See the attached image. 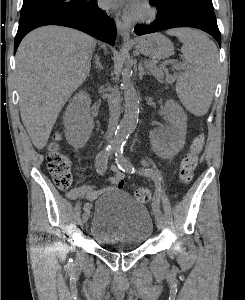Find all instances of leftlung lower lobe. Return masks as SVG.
Wrapping results in <instances>:
<instances>
[{
    "instance_id": "1",
    "label": "left lung lower lobe",
    "mask_w": 245,
    "mask_h": 300,
    "mask_svg": "<svg viewBox=\"0 0 245 300\" xmlns=\"http://www.w3.org/2000/svg\"><path fill=\"white\" fill-rule=\"evenodd\" d=\"M150 3L156 6L157 18L148 26L135 27L136 35L140 36L170 28L192 27L207 32L221 46V33L213 9L188 2L169 4L150 1Z\"/></svg>"
}]
</instances>
